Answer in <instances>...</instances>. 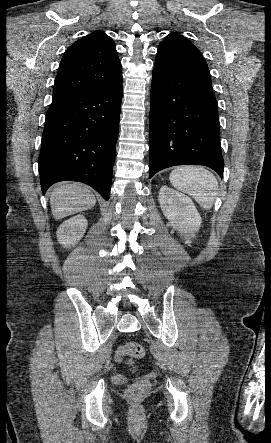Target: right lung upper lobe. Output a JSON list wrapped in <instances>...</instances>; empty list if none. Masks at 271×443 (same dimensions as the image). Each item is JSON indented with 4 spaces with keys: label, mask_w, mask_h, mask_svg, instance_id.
<instances>
[{
    "label": "right lung upper lobe",
    "mask_w": 271,
    "mask_h": 443,
    "mask_svg": "<svg viewBox=\"0 0 271 443\" xmlns=\"http://www.w3.org/2000/svg\"><path fill=\"white\" fill-rule=\"evenodd\" d=\"M122 79L114 41L96 31L73 43L63 54L53 96L108 87Z\"/></svg>",
    "instance_id": "right-lung-upper-lobe-1"
}]
</instances>
